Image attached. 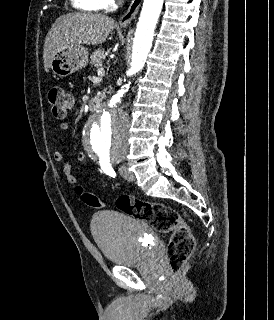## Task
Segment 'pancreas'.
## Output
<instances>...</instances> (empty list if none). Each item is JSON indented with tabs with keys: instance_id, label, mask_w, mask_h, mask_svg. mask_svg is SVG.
I'll return each mask as SVG.
<instances>
[{
	"instance_id": "cf45deb5",
	"label": "pancreas",
	"mask_w": 274,
	"mask_h": 320,
	"mask_svg": "<svg viewBox=\"0 0 274 320\" xmlns=\"http://www.w3.org/2000/svg\"><path fill=\"white\" fill-rule=\"evenodd\" d=\"M102 58H104V50L98 48L96 52H93L90 56V64H94L95 68H102Z\"/></svg>"
}]
</instances>
